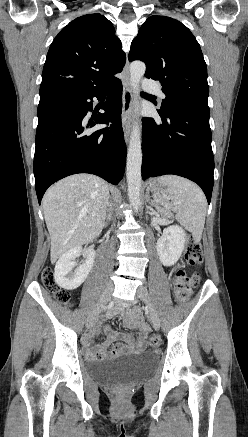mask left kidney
Segmentation results:
<instances>
[{"instance_id":"left-kidney-1","label":"left kidney","mask_w":248,"mask_h":437,"mask_svg":"<svg viewBox=\"0 0 248 437\" xmlns=\"http://www.w3.org/2000/svg\"><path fill=\"white\" fill-rule=\"evenodd\" d=\"M185 241L186 233L181 227L173 225L164 229L156 244L159 259L164 266H172L178 261Z\"/></svg>"}]
</instances>
